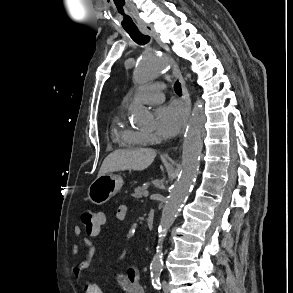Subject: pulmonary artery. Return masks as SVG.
Returning <instances> with one entry per match:
<instances>
[{
	"label": "pulmonary artery",
	"instance_id": "obj_1",
	"mask_svg": "<svg viewBox=\"0 0 293 293\" xmlns=\"http://www.w3.org/2000/svg\"><path fill=\"white\" fill-rule=\"evenodd\" d=\"M162 84L154 83L140 88L135 93V99L145 104H156L163 100L164 94L161 91Z\"/></svg>",
	"mask_w": 293,
	"mask_h": 293
}]
</instances>
